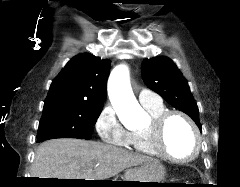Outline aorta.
<instances>
[{
    "label": "aorta",
    "instance_id": "1",
    "mask_svg": "<svg viewBox=\"0 0 240 187\" xmlns=\"http://www.w3.org/2000/svg\"><path fill=\"white\" fill-rule=\"evenodd\" d=\"M107 90L110 102L122 121L137 123L145 117L144 110L133 94L129 71L125 65H119L112 70Z\"/></svg>",
    "mask_w": 240,
    "mask_h": 187
}]
</instances>
